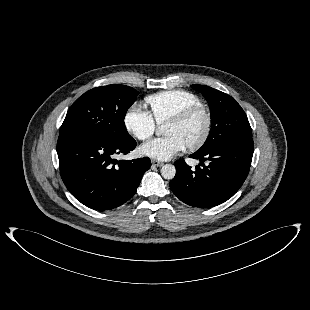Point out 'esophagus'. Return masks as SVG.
Wrapping results in <instances>:
<instances>
[{
  "instance_id": "34e87169",
  "label": "esophagus",
  "mask_w": 310,
  "mask_h": 310,
  "mask_svg": "<svg viewBox=\"0 0 310 310\" xmlns=\"http://www.w3.org/2000/svg\"><path fill=\"white\" fill-rule=\"evenodd\" d=\"M151 163H152V165H154L156 167H160V166L163 165V163L161 161H158V160H155V159H152Z\"/></svg>"
}]
</instances>
